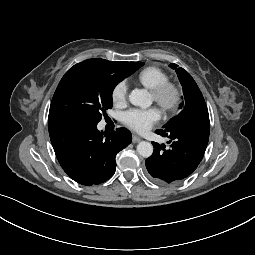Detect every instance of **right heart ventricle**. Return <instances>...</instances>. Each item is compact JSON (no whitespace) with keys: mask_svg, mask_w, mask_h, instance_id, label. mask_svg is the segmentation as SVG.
I'll use <instances>...</instances> for the list:
<instances>
[{"mask_svg":"<svg viewBox=\"0 0 255 255\" xmlns=\"http://www.w3.org/2000/svg\"><path fill=\"white\" fill-rule=\"evenodd\" d=\"M168 80V75L163 70L155 66L146 67L137 75V81L150 90H153Z\"/></svg>","mask_w":255,"mask_h":255,"instance_id":"obj_1","label":"right heart ventricle"}]
</instances>
